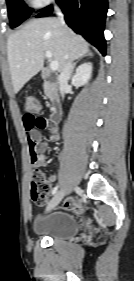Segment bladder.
I'll return each mask as SVG.
<instances>
[{
  "label": "bladder",
  "instance_id": "bladder-1",
  "mask_svg": "<svg viewBox=\"0 0 134 281\" xmlns=\"http://www.w3.org/2000/svg\"><path fill=\"white\" fill-rule=\"evenodd\" d=\"M80 228L77 217L64 210L37 217L33 224L35 234L55 240L71 239L78 234Z\"/></svg>",
  "mask_w": 134,
  "mask_h": 281
}]
</instances>
